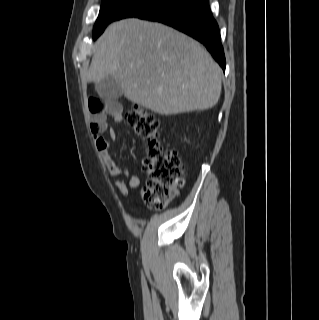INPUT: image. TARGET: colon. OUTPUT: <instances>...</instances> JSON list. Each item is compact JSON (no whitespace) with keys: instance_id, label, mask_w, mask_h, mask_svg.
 Returning a JSON list of instances; mask_svg holds the SVG:
<instances>
[{"instance_id":"obj_1","label":"colon","mask_w":319,"mask_h":320,"mask_svg":"<svg viewBox=\"0 0 319 320\" xmlns=\"http://www.w3.org/2000/svg\"><path fill=\"white\" fill-rule=\"evenodd\" d=\"M125 121L148 144L144 160L147 185L143 190V200L147 207L161 209L176 197L184 183L186 172L181 158L175 151L165 150L159 145V122L146 109L139 106L130 108L125 113Z\"/></svg>"}]
</instances>
